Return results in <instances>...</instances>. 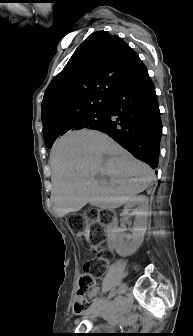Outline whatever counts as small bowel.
Instances as JSON below:
<instances>
[{
	"mask_svg": "<svg viewBox=\"0 0 193 336\" xmlns=\"http://www.w3.org/2000/svg\"><path fill=\"white\" fill-rule=\"evenodd\" d=\"M99 293V288L94 287L88 294L89 298L94 299L95 302H98L96 296ZM97 304V303H96ZM95 307H97L95 305ZM104 315L112 322L118 323H132L135 317L129 313L127 310V302L124 300H119L116 306L111 305L108 309L105 310Z\"/></svg>",
	"mask_w": 193,
	"mask_h": 336,
	"instance_id": "1",
	"label": "small bowel"
}]
</instances>
